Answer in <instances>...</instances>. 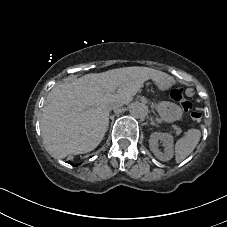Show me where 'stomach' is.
I'll list each match as a JSON object with an SVG mask.
<instances>
[{"instance_id":"1","label":"stomach","mask_w":227,"mask_h":227,"mask_svg":"<svg viewBox=\"0 0 227 227\" xmlns=\"http://www.w3.org/2000/svg\"><path fill=\"white\" fill-rule=\"evenodd\" d=\"M156 110L160 118L166 123H172L182 117L180 106L173 102L162 101L156 105Z\"/></svg>"}]
</instances>
